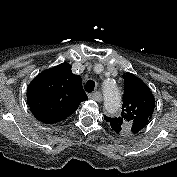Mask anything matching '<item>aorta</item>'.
<instances>
[{"label": "aorta", "mask_w": 177, "mask_h": 177, "mask_svg": "<svg viewBox=\"0 0 177 177\" xmlns=\"http://www.w3.org/2000/svg\"><path fill=\"white\" fill-rule=\"evenodd\" d=\"M104 108L109 114H116L121 107V97L114 82H106L103 86Z\"/></svg>", "instance_id": "762f6f07"}]
</instances>
